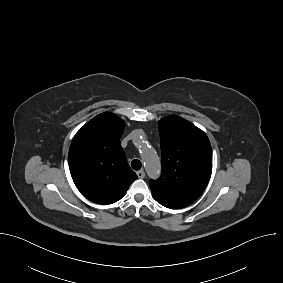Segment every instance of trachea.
Returning a JSON list of instances; mask_svg holds the SVG:
<instances>
[{
  "mask_svg": "<svg viewBox=\"0 0 283 283\" xmlns=\"http://www.w3.org/2000/svg\"><path fill=\"white\" fill-rule=\"evenodd\" d=\"M131 167H132L134 170H139V169L142 167V163H141L140 160L134 159V160L131 162Z\"/></svg>",
  "mask_w": 283,
  "mask_h": 283,
  "instance_id": "1",
  "label": "trachea"
}]
</instances>
